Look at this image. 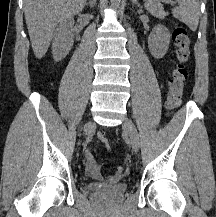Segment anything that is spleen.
<instances>
[{"instance_id":"3e777b00","label":"spleen","mask_w":216,"mask_h":217,"mask_svg":"<svg viewBox=\"0 0 216 217\" xmlns=\"http://www.w3.org/2000/svg\"><path fill=\"white\" fill-rule=\"evenodd\" d=\"M176 2L179 6L172 10L173 16L195 31L200 16L199 0H176Z\"/></svg>"}]
</instances>
